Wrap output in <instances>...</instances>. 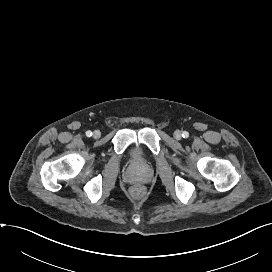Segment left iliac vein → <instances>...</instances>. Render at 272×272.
<instances>
[{
    "label": "left iliac vein",
    "mask_w": 272,
    "mask_h": 272,
    "mask_svg": "<svg viewBox=\"0 0 272 272\" xmlns=\"http://www.w3.org/2000/svg\"><path fill=\"white\" fill-rule=\"evenodd\" d=\"M174 137L176 138V139H181V137H182V134H181V132L179 131V130H176L175 132H174Z\"/></svg>",
    "instance_id": "1"
}]
</instances>
